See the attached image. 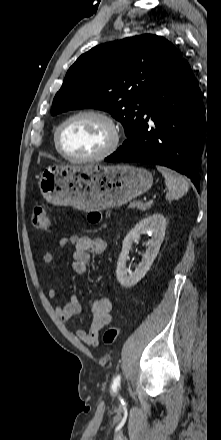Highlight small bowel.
<instances>
[{
    "instance_id": "obj_1",
    "label": "small bowel",
    "mask_w": 221,
    "mask_h": 440,
    "mask_svg": "<svg viewBox=\"0 0 221 440\" xmlns=\"http://www.w3.org/2000/svg\"><path fill=\"white\" fill-rule=\"evenodd\" d=\"M68 244H71L74 247L72 269L78 275H84L87 273L90 252H93L94 254H102L106 250V242L101 238H90L79 235L63 237L59 240L55 250L46 252L43 256L44 263L51 265V273H54L57 269L55 252ZM47 294L49 298L54 299L57 297L58 292L54 287L50 286L47 289ZM81 311L82 307L76 295L71 297L68 304L55 308L56 316L64 322L71 320L73 316L80 314ZM90 313L91 324L89 330H78L77 337L87 345L97 346L101 330L112 322V303L110 299L107 297H99L95 299L91 304Z\"/></svg>"
}]
</instances>
